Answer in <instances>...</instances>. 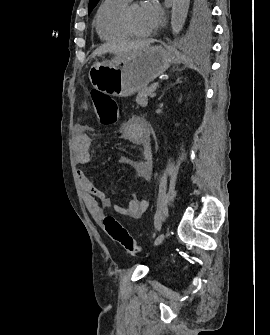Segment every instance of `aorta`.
<instances>
[{
    "instance_id": "obj_1",
    "label": "aorta",
    "mask_w": 270,
    "mask_h": 335,
    "mask_svg": "<svg viewBox=\"0 0 270 335\" xmlns=\"http://www.w3.org/2000/svg\"><path fill=\"white\" fill-rule=\"evenodd\" d=\"M189 2L190 0H173L171 28L174 34H178L185 24Z\"/></svg>"
}]
</instances>
